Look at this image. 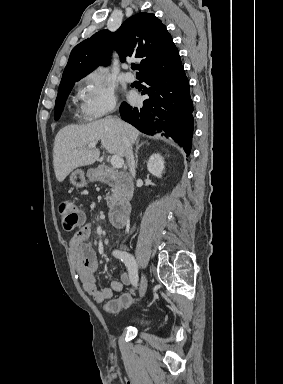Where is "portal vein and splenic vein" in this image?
I'll return each mask as SVG.
<instances>
[{"label": "portal vein and splenic vein", "instance_id": "18ae733b", "mask_svg": "<svg viewBox=\"0 0 283 384\" xmlns=\"http://www.w3.org/2000/svg\"><path fill=\"white\" fill-rule=\"evenodd\" d=\"M96 144H88V148H95ZM74 152H78V150H74ZM111 164L113 168H122L124 164L123 158L121 156H112Z\"/></svg>", "mask_w": 283, "mask_h": 384}]
</instances>
